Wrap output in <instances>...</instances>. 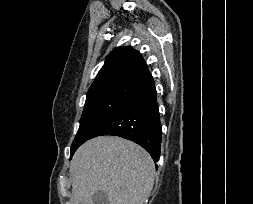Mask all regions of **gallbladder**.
Segmentation results:
<instances>
[{
  "label": "gallbladder",
  "mask_w": 253,
  "mask_h": 204,
  "mask_svg": "<svg viewBox=\"0 0 253 204\" xmlns=\"http://www.w3.org/2000/svg\"><path fill=\"white\" fill-rule=\"evenodd\" d=\"M93 204H109L108 196L103 191H98L92 196Z\"/></svg>",
  "instance_id": "bac80fb5"
}]
</instances>
